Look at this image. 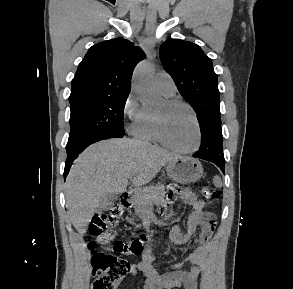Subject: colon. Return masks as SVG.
Masks as SVG:
<instances>
[{
	"instance_id": "obj_1",
	"label": "colon",
	"mask_w": 293,
	"mask_h": 289,
	"mask_svg": "<svg viewBox=\"0 0 293 289\" xmlns=\"http://www.w3.org/2000/svg\"><path fill=\"white\" fill-rule=\"evenodd\" d=\"M184 191L179 185H171L168 189L169 202L159 209L160 215L167 214L170 205L175 202L177 196ZM203 196L209 201H216L218 193L209 187L202 188ZM122 214L120 204L112 205L107 211L94 216L90 223L89 232L97 238L98 242L109 245L107 251L96 253L92 258L94 283L92 289H116L120 280L131 266L121 256H137L143 252L144 237L132 238L126 241L113 242L116 232L109 226L114 224Z\"/></svg>"
}]
</instances>
